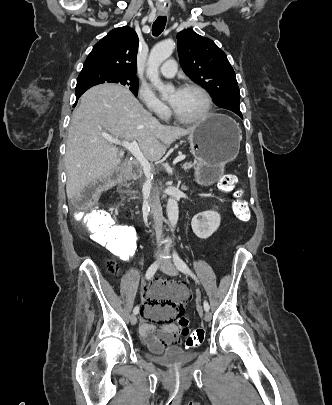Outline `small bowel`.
Here are the masks:
<instances>
[{"label": "small bowel", "mask_w": 332, "mask_h": 405, "mask_svg": "<svg viewBox=\"0 0 332 405\" xmlns=\"http://www.w3.org/2000/svg\"><path fill=\"white\" fill-rule=\"evenodd\" d=\"M171 285L175 284L158 281L146 291L143 320L139 327L143 344H147L148 349H160L161 353L183 346L180 328L174 323V318L182 313L176 311L185 310L189 290L169 288ZM155 323H159L160 327Z\"/></svg>", "instance_id": "small-bowel-1"}]
</instances>
